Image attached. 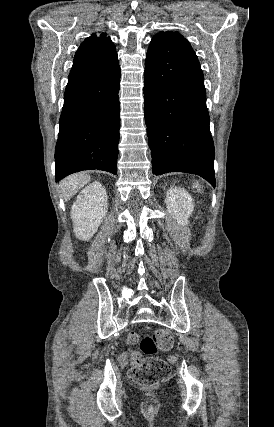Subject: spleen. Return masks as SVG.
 I'll use <instances>...</instances> for the list:
<instances>
[{
    "label": "spleen",
    "mask_w": 274,
    "mask_h": 427,
    "mask_svg": "<svg viewBox=\"0 0 274 427\" xmlns=\"http://www.w3.org/2000/svg\"><path fill=\"white\" fill-rule=\"evenodd\" d=\"M199 184H195L194 188H198Z\"/></svg>",
    "instance_id": "1"
}]
</instances>
